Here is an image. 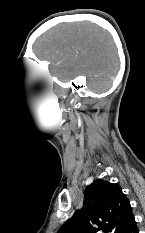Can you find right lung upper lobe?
<instances>
[{"label": "right lung upper lobe", "mask_w": 145, "mask_h": 233, "mask_svg": "<svg viewBox=\"0 0 145 233\" xmlns=\"http://www.w3.org/2000/svg\"><path fill=\"white\" fill-rule=\"evenodd\" d=\"M119 186L95 180L84 191V202L58 233H120L133 218Z\"/></svg>", "instance_id": "obj_1"}]
</instances>
